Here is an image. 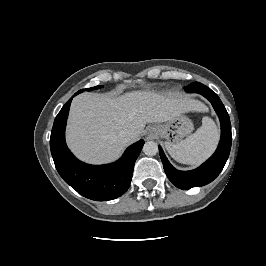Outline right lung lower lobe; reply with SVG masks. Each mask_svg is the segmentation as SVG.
<instances>
[{"instance_id":"1","label":"right lung lower lobe","mask_w":266,"mask_h":266,"mask_svg":"<svg viewBox=\"0 0 266 266\" xmlns=\"http://www.w3.org/2000/svg\"><path fill=\"white\" fill-rule=\"evenodd\" d=\"M72 98L56 116L51 132L50 149L55 167L64 181L82 196L96 201L115 199L130 186L134 164L144 140L131 145L122 158L112 164L89 165L79 161L65 142V127Z\"/></svg>"}]
</instances>
